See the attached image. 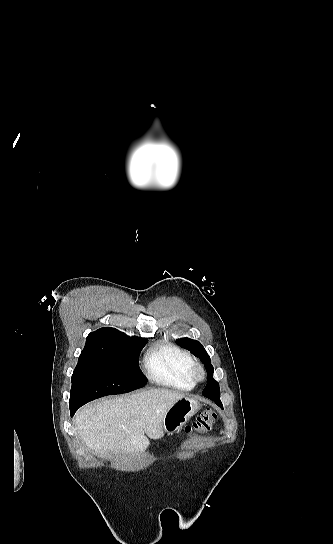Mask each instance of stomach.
I'll return each mask as SVG.
<instances>
[{
	"instance_id": "stomach-1",
	"label": "stomach",
	"mask_w": 333,
	"mask_h": 544,
	"mask_svg": "<svg viewBox=\"0 0 333 544\" xmlns=\"http://www.w3.org/2000/svg\"><path fill=\"white\" fill-rule=\"evenodd\" d=\"M199 408L200 404L193 399L184 397L178 400L168 409L163 419V432L173 434L179 431Z\"/></svg>"
}]
</instances>
